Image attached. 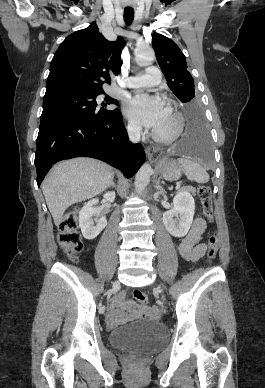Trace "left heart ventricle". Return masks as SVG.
Returning a JSON list of instances; mask_svg holds the SVG:
<instances>
[{
  "label": "left heart ventricle",
  "instance_id": "1",
  "mask_svg": "<svg viewBox=\"0 0 265 388\" xmlns=\"http://www.w3.org/2000/svg\"><path fill=\"white\" fill-rule=\"evenodd\" d=\"M142 91L150 92V91H156V86H141L140 88ZM172 128V119L170 114L167 112L165 118L163 121L156 127L157 130L160 132H168Z\"/></svg>",
  "mask_w": 265,
  "mask_h": 388
}]
</instances>
